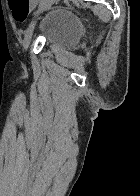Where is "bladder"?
I'll return each instance as SVG.
<instances>
[{
    "label": "bladder",
    "instance_id": "bladder-1",
    "mask_svg": "<svg viewBox=\"0 0 140 196\" xmlns=\"http://www.w3.org/2000/svg\"><path fill=\"white\" fill-rule=\"evenodd\" d=\"M39 33L50 46L63 49H75L82 37L80 17L66 8H55L42 19Z\"/></svg>",
    "mask_w": 140,
    "mask_h": 196
}]
</instances>
